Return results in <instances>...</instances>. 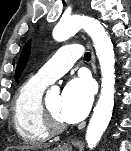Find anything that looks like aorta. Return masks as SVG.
Masks as SVG:
<instances>
[{
	"label": "aorta",
	"mask_w": 131,
	"mask_h": 151,
	"mask_svg": "<svg viewBox=\"0 0 131 151\" xmlns=\"http://www.w3.org/2000/svg\"><path fill=\"white\" fill-rule=\"evenodd\" d=\"M84 29L92 38L99 60L102 84L98 102L93 110L86 131L88 147L93 149L105 132L114 107L115 94V54L113 44L98 20L83 15L62 19L53 31L54 39L64 41Z\"/></svg>",
	"instance_id": "762f6f07"
}]
</instances>
